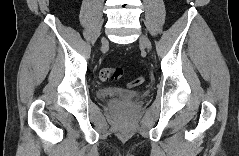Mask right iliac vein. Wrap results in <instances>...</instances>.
I'll return each mask as SVG.
<instances>
[{
	"label": "right iliac vein",
	"instance_id": "1",
	"mask_svg": "<svg viewBox=\"0 0 239 156\" xmlns=\"http://www.w3.org/2000/svg\"><path fill=\"white\" fill-rule=\"evenodd\" d=\"M107 43V40L105 38L102 39V44L105 45Z\"/></svg>",
	"mask_w": 239,
	"mask_h": 156
}]
</instances>
